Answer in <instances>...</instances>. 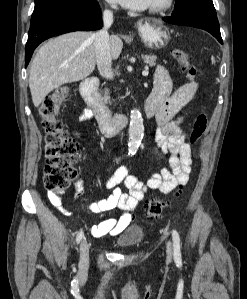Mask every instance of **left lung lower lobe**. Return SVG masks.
Wrapping results in <instances>:
<instances>
[{
	"mask_svg": "<svg viewBox=\"0 0 247 299\" xmlns=\"http://www.w3.org/2000/svg\"><path fill=\"white\" fill-rule=\"evenodd\" d=\"M163 20L170 24L192 26L206 30L223 44L217 15L199 9H189L170 17H164Z\"/></svg>",
	"mask_w": 247,
	"mask_h": 299,
	"instance_id": "obj_1",
	"label": "left lung lower lobe"
}]
</instances>
